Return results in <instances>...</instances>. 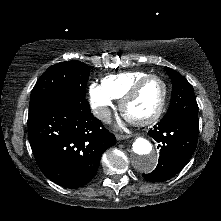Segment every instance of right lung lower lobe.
Wrapping results in <instances>:
<instances>
[{"label": "right lung lower lobe", "mask_w": 221, "mask_h": 221, "mask_svg": "<svg viewBox=\"0 0 221 221\" xmlns=\"http://www.w3.org/2000/svg\"><path fill=\"white\" fill-rule=\"evenodd\" d=\"M30 145L45 176L65 188H78L97 173L105 150L116 144L85 97L68 94L28 122Z\"/></svg>", "instance_id": "98d812e1"}]
</instances>
